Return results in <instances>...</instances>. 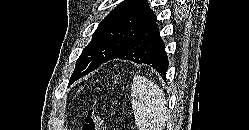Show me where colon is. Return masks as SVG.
<instances>
[{
  "instance_id": "1",
  "label": "colon",
  "mask_w": 249,
  "mask_h": 130,
  "mask_svg": "<svg viewBox=\"0 0 249 130\" xmlns=\"http://www.w3.org/2000/svg\"><path fill=\"white\" fill-rule=\"evenodd\" d=\"M82 130H105L103 126V109L99 99H93L92 105L85 116Z\"/></svg>"
}]
</instances>
